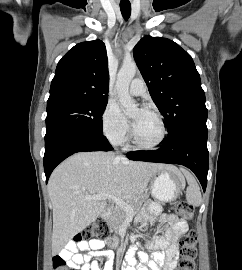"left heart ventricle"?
I'll return each mask as SVG.
<instances>
[{
    "label": "left heart ventricle",
    "instance_id": "obj_1",
    "mask_svg": "<svg viewBox=\"0 0 242 270\" xmlns=\"http://www.w3.org/2000/svg\"><path fill=\"white\" fill-rule=\"evenodd\" d=\"M135 136L142 143H153L160 136V125L157 118L145 111H134L131 114Z\"/></svg>",
    "mask_w": 242,
    "mask_h": 270
}]
</instances>
